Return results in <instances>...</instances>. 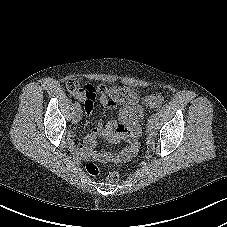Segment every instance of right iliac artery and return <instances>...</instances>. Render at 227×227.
<instances>
[{"instance_id": "obj_1", "label": "right iliac artery", "mask_w": 227, "mask_h": 227, "mask_svg": "<svg viewBox=\"0 0 227 227\" xmlns=\"http://www.w3.org/2000/svg\"><path fill=\"white\" fill-rule=\"evenodd\" d=\"M74 106H75V108L77 110H80L81 109V106H80V104L78 102H75Z\"/></svg>"}]
</instances>
